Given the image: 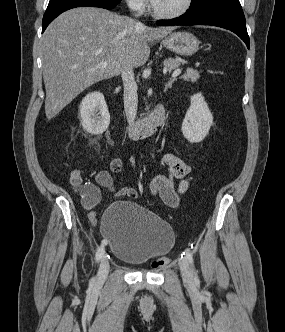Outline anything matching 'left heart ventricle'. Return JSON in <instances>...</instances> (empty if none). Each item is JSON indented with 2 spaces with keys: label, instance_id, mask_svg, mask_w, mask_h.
<instances>
[{
  "label": "left heart ventricle",
  "instance_id": "1",
  "mask_svg": "<svg viewBox=\"0 0 285 332\" xmlns=\"http://www.w3.org/2000/svg\"><path fill=\"white\" fill-rule=\"evenodd\" d=\"M185 0H158L155 8L163 13H172L179 10L184 5Z\"/></svg>",
  "mask_w": 285,
  "mask_h": 332
}]
</instances>
